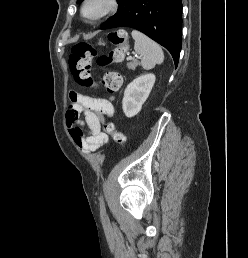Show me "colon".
<instances>
[{"label":"colon","instance_id":"obj_1","mask_svg":"<svg viewBox=\"0 0 248 258\" xmlns=\"http://www.w3.org/2000/svg\"><path fill=\"white\" fill-rule=\"evenodd\" d=\"M108 38L115 45V49L109 55L98 58L97 63L101 67L120 62L129 48L127 33L124 30L113 31ZM95 55L96 50L86 43H77L71 48L69 55L70 71L74 80L83 87L96 86V81L91 72L92 60ZM103 84L107 90L117 91L121 82L116 75L110 73L103 78ZM103 128L116 142L123 143L125 141L124 133L117 130L113 123L107 122L103 125Z\"/></svg>","mask_w":248,"mask_h":258}]
</instances>
